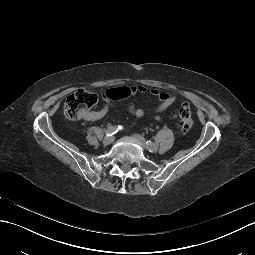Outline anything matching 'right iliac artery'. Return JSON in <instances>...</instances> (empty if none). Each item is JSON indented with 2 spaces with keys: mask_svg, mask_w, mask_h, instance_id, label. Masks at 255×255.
Returning <instances> with one entry per match:
<instances>
[{
  "mask_svg": "<svg viewBox=\"0 0 255 255\" xmlns=\"http://www.w3.org/2000/svg\"><path fill=\"white\" fill-rule=\"evenodd\" d=\"M119 130H122V126H109L106 130H105V134L107 137L114 135L115 133H117Z\"/></svg>",
  "mask_w": 255,
  "mask_h": 255,
  "instance_id": "obj_1",
  "label": "right iliac artery"
}]
</instances>
